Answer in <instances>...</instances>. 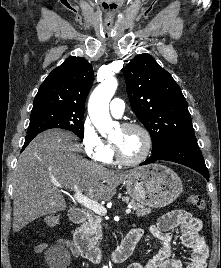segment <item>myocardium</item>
Segmentation results:
<instances>
[{"instance_id":"myocardium-1","label":"myocardium","mask_w":221,"mask_h":268,"mask_svg":"<svg viewBox=\"0 0 221 268\" xmlns=\"http://www.w3.org/2000/svg\"><path fill=\"white\" fill-rule=\"evenodd\" d=\"M121 128L125 130H130V129L139 130L145 138V147L140 156H138L135 159H127L121 154L118 146L112 141V149H113V154H114L116 161L125 166H135V165L142 163L143 161L147 159V157L149 156L152 150L153 140H152L151 133L145 126L139 123H125L121 126Z\"/></svg>"}]
</instances>
